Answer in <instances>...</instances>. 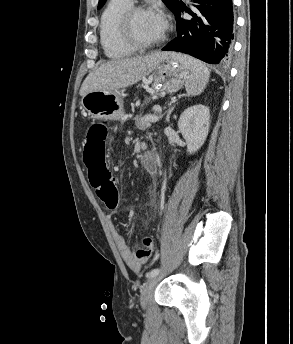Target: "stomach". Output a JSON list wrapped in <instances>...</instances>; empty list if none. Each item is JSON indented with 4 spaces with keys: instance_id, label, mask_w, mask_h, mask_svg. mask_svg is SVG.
<instances>
[{
    "instance_id": "1",
    "label": "stomach",
    "mask_w": 293,
    "mask_h": 344,
    "mask_svg": "<svg viewBox=\"0 0 293 344\" xmlns=\"http://www.w3.org/2000/svg\"><path fill=\"white\" fill-rule=\"evenodd\" d=\"M190 75V69L170 54L161 59L143 80L156 91L174 93L183 87ZM81 104L96 120H120L124 116L121 90L89 92L82 97Z\"/></svg>"
}]
</instances>
